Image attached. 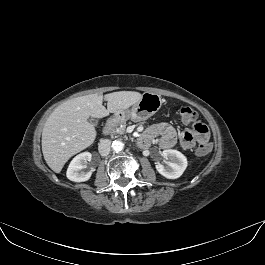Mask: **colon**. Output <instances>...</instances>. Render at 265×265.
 <instances>
[{
    "label": "colon",
    "mask_w": 265,
    "mask_h": 265,
    "mask_svg": "<svg viewBox=\"0 0 265 265\" xmlns=\"http://www.w3.org/2000/svg\"><path fill=\"white\" fill-rule=\"evenodd\" d=\"M180 115H181L182 119L186 122H194L197 118L196 112L188 106L181 107ZM210 149H211V146L209 144H207V143L201 144L197 148L196 153L199 156H203V155H206L210 151Z\"/></svg>",
    "instance_id": "obj_1"
}]
</instances>
